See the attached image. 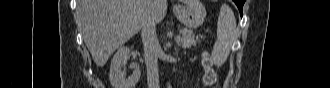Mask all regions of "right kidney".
<instances>
[{
    "label": "right kidney",
    "mask_w": 330,
    "mask_h": 88,
    "mask_svg": "<svg viewBox=\"0 0 330 88\" xmlns=\"http://www.w3.org/2000/svg\"><path fill=\"white\" fill-rule=\"evenodd\" d=\"M132 48L122 46L113 57L109 73V80L113 88H133L140 79L141 71L139 69H135L128 78L121 71V67L126 64Z\"/></svg>",
    "instance_id": "ca27d5eb"
}]
</instances>
